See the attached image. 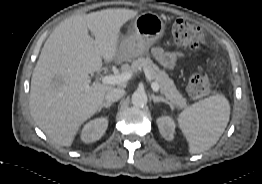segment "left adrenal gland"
<instances>
[{"label":"left adrenal gland","instance_id":"left-adrenal-gland-1","mask_svg":"<svg viewBox=\"0 0 262 184\" xmlns=\"http://www.w3.org/2000/svg\"><path fill=\"white\" fill-rule=\"evenodd\" d=\"M151 98H152L154 103L164 102V103L168 104L169 106H172L170 102H168L166 99H164L161 96H155L154 94H152Z\"/></svg>","mask_w":262,"mask_h":184}]
</instances>
